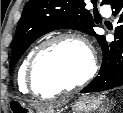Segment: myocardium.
<instances>
[{
    "label": "myocardium",
    "mask_w": 123,
    "mask_h": 113,
    "mask_svg": "<svg viewBox=\"0 0 123 113\" xmlns=\"http://www.w3.org/2000/svg\"><path fill=\"white\" fill-rule=\"evenodd\" d=\"M61 41H74L80 44L84 50L86 51L88 58H89V68L88 71L85 73L83 77H81L78 81L75 83L69 85V86H60L53 88L49 90L48 93H44L38 89V86L36 84L35 80V65L39 59V57L48 50L51 46L54 44L61 42ZM97 71V61L95 54L91 48V45L89 44L88 40L83 37L80 34L77 33H63L56 35L44 42H42L40 45H38L33 53L31 54L29 61L27 63L26 67V83L27 86L31 89L32 92L35 94L40 95L41 97H45L46 95H56L59 93H68L73 90H75L78 87H81L82 85L86 84L88 81H90L95 73Z\"/></svg>",
    "instance_id": "1"
}]
</instances>
